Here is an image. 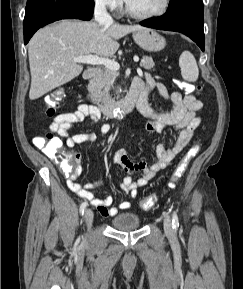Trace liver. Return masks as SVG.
<instances>
[{
    "instance_id": "liver-1",
    "label": "liver",
    "mask_w": 243,
    "mask_h": 289,
    "mask_svg": "<svg viewBox=\"0 0 243 289\" xmlns=\"http://www.w3.org/2000/svg\"><path fill=\"white\" fill-rule=\"evenodd\" d=\"M145 29L139 25L100 26L95 21L62 20L38 30L28 44L31 73L29 98L35 100L79 76L77 56L111 57L118 39Z\"/></svg>"
}]
</instances>
